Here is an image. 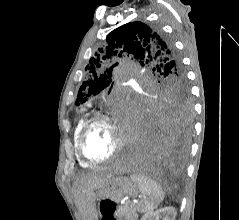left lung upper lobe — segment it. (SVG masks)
<instances>
[{"mask_svg": "<svg viewBox=\"0 0 239 220\" xmlns=\"http://www.w3.org/2000/svg\"><path fill=\"white\" fill-rule=\"evenodd\" d=\"M125 55L149 67L159 79L142 95V108L175 112L181 120L189 122L193 106L181 60L159 30L139 21L122 25L107 35L106 44L95 52L85 68V81L79 88L75 105L112 87L113 70L118 66L116 59Z\"/></svg>", "mask_w": 239, "mask_h": 220, "instance_id": "5c2ea615", "label": "left lung upper lobe"}]
</instances>
